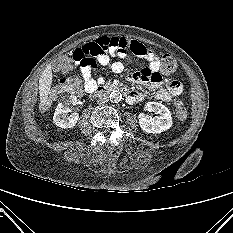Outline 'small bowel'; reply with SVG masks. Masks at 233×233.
<instances>
[{
	"instance_id": "obj_1",
	"label": "small bowel",
	"mask_w": 233,
	"mask_h": 233,
	"mask_svg": "<svg viewBox=\"0 0 233 233\" xmlns=\"http://www.w3.org/2000/svg\"><path fill=\"white\" fill-rule=\"evenodd\" d=\"M130 53L148 63L141 71L129 73L127 77L130 81L145 84L156 90V97L161 101H169L173 96L181 94L182 85L179 81L163 79L159 56L144 44L124 37H101L73 51L72 57L83 77L85 90L91 93L103 82L102 78H93L97 63L109 67L114 73H121L125 63L132 62ZM131 93L132 98L128 100L131 103L139 102L144 97L139 91Z\"/></svg>"
}]
</instances>
